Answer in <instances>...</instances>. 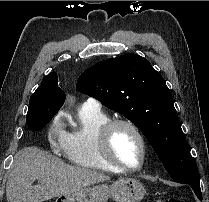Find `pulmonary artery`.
<instances>
[{
	"label": "pulmonary artery",
	"mask_w": 209,
	"mask_h": 202,
	"mask_svg": "<svg viewBox=\"0 0 209 202\" xmlns=\"http://www.w3.org/2000/svg\"><path fill=\"white\" fill-rule=\"evenodd\" d=\"M100 102L95 98H88L82 103V107L98 108Z\"/></svg>",
	"instance_id": "1"
}]
</instances>
